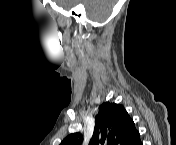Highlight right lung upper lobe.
Wrapping results in <instances>:
<instances>
[{
	"label": "right lung upper lobe",
	"instance_id": "obj_1",
	"mask_svg": "<svg viewBox=\"0 0 176 145\" xmlns=\"http://www.w3.org/2000/svg\"><path fill=\"white\" fill-rule=\"evenodd\" d=\"M79 133L68 135L61 145H79ZM140 135L122 105L103 103L96 116L90 145H140Z\"/></svg>",
	"mask_w": 176,
	"mask_h": 145
}]
</instances>
